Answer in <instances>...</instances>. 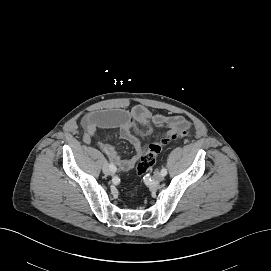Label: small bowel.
Wrapping results in <instances>:
<instances>
[{
	"mask_svg": "<svg viewBox=\"0 0 271 271\" xmlns=\"http://www.w3.org/2000/svg\"><path fill=\"white\" fill-rule=\"evenodd\" d=\"M82 125L85 133L84 142L89 143L99 129H116L120 138L128 141L135 149V155L130 159H122L112 145L105 147L107 154L122 171L130 170L140 158L143 149L138 136L152 133L153 125L167 127L166 136L188 129L189 123L182 116L154 114L142 105H136L130 110L116 109L91 112L84 116Z\"/></svg>",
	"mask_w": 271,
	"mask_h": 271,
	"instance_id": "1",
	"label": "small bowel"
}]
</instances>
